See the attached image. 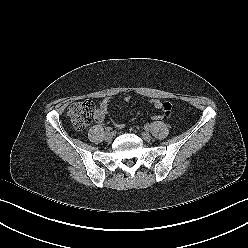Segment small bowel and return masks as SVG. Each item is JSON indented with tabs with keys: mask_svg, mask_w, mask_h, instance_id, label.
<instances>
[{
	"mask_svg": "<svg viewBox=\"0 0 248 248\" xmlns=\"http://www.w3.org/2000/svg\"><path fill=\"white\" fill-rule=\"evenodd\" d=\"M130 99H131L130 96H126L124 97L123 100L124 102H129ZM110 102H111L110 97H106L100 102L99 107L96 109L95 114H94V119L97 123H101L104 120L105 116L108 113ZM151 104L156 109L161 110L165 116H169L171 114L172 107L169 102H164L160 100H152ZM116 127L121 129L124 127V125L122 123H116Z\"/></svg>",
	"mask_w": 248,
	"mask_h": 248,
	"instance_id": "small-bowel-1",
	"label": "small bowel"
}]
</instances>
